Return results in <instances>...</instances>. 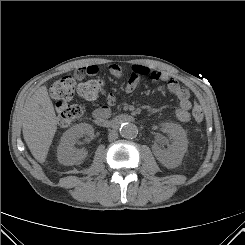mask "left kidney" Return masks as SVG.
Listing matches in <instances>:
<instances>
[{
  "instance_id": "5707ae66",
  "label": "left kidney",
  "mask_w": 245,
  "mask_h": 245,
  "mask_svg": "<svg viewBox=\"0 0 245 245\" xmlns=\"http://www.w3.org/2000/svg\"><path fill=\"white\" fill-rule=\"evenodd\" d=\"M163 131L168 133L173 139L172 145L168 149H156V158L165 166L171 167L178 165L185 152L187 151V136L185 130L174 123H164Z\"/></svg>"
}]
</instances>
